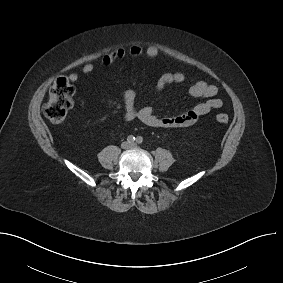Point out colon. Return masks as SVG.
I'll list each match as a JSON object with an SVG mask.
<instances>
[{"label":"colon","instance_id":"5ec220e1","mask_svg":"<svg viewBox=\"0 0 283 283\" xmlns=\"http://www.w3.org/2000/svg\"><path fill=\"white\" fill-rule=\"evenodd\" d=\"M74 87L65 78L58 79L50 88L49 97L43 106L44 116L51 122H64L69 110L73 106ZM217 122L226 124L229 116L226 113L216 115Z\"/></svg>","mask_w":283,"mask_h":283}]
</instances>
